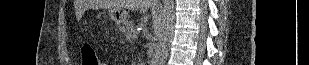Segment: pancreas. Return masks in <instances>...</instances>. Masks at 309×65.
<instances>
[{
    "label": "pancreas",
    "instance_id": "pancreas-1",
    "mask_svg": "<svg viewBox=\"0 0 309 65\" xmlns=\"http://www.w3.org/2000/svg\"><path fill=\"white\" fill-rule=\"evenodd\" d=\"M133 29H134L133 25L130 24V26H129V31H128V32L131 33V31H132Z\"/></svg>",
    "mask_w": 309,
    "mask_h": 65
}]
</instances>
